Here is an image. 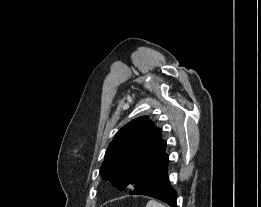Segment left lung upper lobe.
Segmentation results:
<instances>
[{"instance_id":"1","label":"left lung upper lobe","mask_w":261,"mask_h":207,"mask_svg":"<svg viewBox=\"0 0 261 207\" xmlns=\"http://www.w3.org/2000/svg\"><path fill=\"white\" fill-rule=\"evenodd\" d=\"M165 148L161 130L147 116L138 117L117 132L100 174L119 190L136 187L167 169Z\"/></svg>"}]
</instances>
